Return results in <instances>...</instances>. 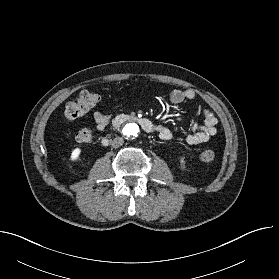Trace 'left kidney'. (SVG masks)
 <instances>
[{
	"instance_id": "left-kidney-1",
	"label": "left kidney",
	"mask_w": 279,
	"mask_h": 279,
	"mask_svg": "<svg viewBox=\"0 0 279 279\" xmlns=\"http://www.w3.org/2000/svg\"><path fill=\"white\" fill-rule=\"evenodd\" d=\"M180 163H181L182 168H185V161L183 158H180Z\"/></svg>"
}]
</instances>
